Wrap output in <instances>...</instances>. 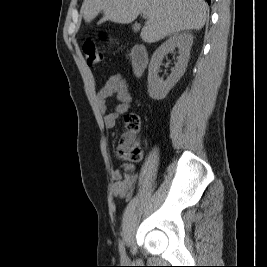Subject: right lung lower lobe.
Returning <instances> with one entry per match:
<instances>
[{
  "mask_svg": "<svg viewBox=\"0 0 267 267\" xmlns=\"http://www.w3.org/2000/svg\"><path fill=\"white\" fill-rule=\"evenodd\" d=\"M210 4V0H206Z\"/></svg>",
  "mask_w": 267,
  "mask_h": 267,
  "instance_id": "1",
  "label": "right lung lower lobe"
}]
</instances>
